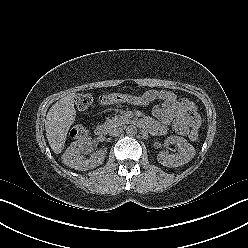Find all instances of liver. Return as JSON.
<instances>
[{
	"mask_svg": "<svg viewBox=\"0 0 248 248\" xmlns=\"http://www.w3.org/2000/svg\"><path fill=\"white\" fill-rule=\"evenodd\" d=\"M75 93H70L51 106L45 121L46 137L55 154L62 152L67 133L75 121Z\"/></svg>",
	"mask_w": 248,
	"mask_h": 248,
	"instance_id": "1",
	"label": "liver"
}]
</instances>
